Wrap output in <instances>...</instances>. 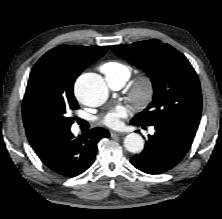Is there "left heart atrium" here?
I'll return each instance as SVG.
<instances>
[{"instance_id": "left-heart-atrium-1", "label": "left heart atrium", "mask_w": 222, "mask_h": 219, "mask_svg": "<svg viewBox=\"0 0 222 219\" xmlns=\"http://www.w3.org/2000/svg\"><path fill=\"white\" fill-rule=\"evenodd\" d=\"M127 116V110L123 106H117L116 108L107 112L102 118L101 122L110 128H119L122 124V119Z\"/></svg>"}]
</instances>
